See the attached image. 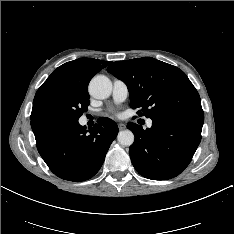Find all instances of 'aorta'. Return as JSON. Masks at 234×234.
Wrapping results in <instances>:
<instances>
[{
    "label": "aorta",
    "mask_w": 234,
    "mask_h": 234,
    "mask_svg": "<svg viewBox=\"0 0 234 234\" xmlns=\"http://www.w3.org/2000/svg\"><path fill=\"white\" fill-rule=\"evenodd\" d=\"M89 92L97 99L108 98L112 92V83L106 76L98 75L90 81ZM117 140L123 146H131L134 142V134L128 129L120 131Z\"/></svg>",
    "instance_id": "obj_1"
}]
</instances>
